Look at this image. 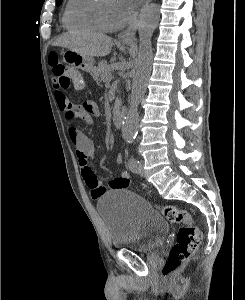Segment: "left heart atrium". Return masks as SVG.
<instances>
[{
	"label": "left heart atrium",
	"instance_id": "left-heart-atrium-1",
	"mask_svg": "<svg viewBox=\"0 0 245 300\" xmlns=\"http://www.w3.org/2000/svg\"><path fill=\"white\" fill-rule=\"evenodd\" d=\"M141 0H120L119 5L124 19H128L134 13L136 6Z\"/></svg>",
	"mask_w": 245,
	"mask_h": 300
}]
</instances>
